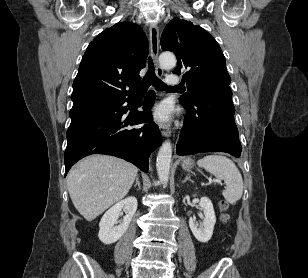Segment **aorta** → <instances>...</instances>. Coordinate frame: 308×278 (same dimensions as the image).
Masks as SVG:
<instances>
[{
	"instance_id": "obj_1",
	"label": "aorta",
	"mask_w": 308,
	"mask_h": 278,
	"mask_svg": "<svg viewBox=\"0 0 308 278\" xmlns=\"http://www.w3.org/2000/svg\"><path fill=\"white\" fill-rule=\"evenodd\" d=\"M159 63L163 68H173L176 65V58L170 52H164L159 56ZM172 158V145L165 141L157 155L156 169L159 180L166 185L170 174V165Z\"/></svg>"
}]
</instances>
